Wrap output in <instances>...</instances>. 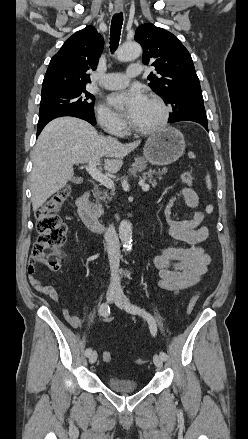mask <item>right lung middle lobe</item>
<instances>
[{"label":"right lung middle lobe","instance_id":"1","mask_svg":"<svg viewBox=\"0 0 248 439\" xmlns=\"http://www.w3.org/2000/svg\"><path fill=\"white\" fill-rule=\"evenodd\" d=\"M94 96L85 87L41 95L39 118L60 111H81L94 114Z\"/></svg>","mask_w":248,"mask_h":439}]
</instances>
